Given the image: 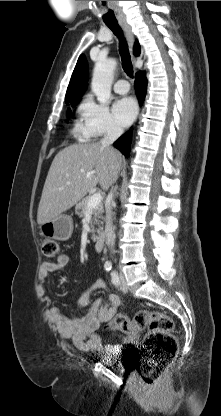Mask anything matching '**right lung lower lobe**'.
I'll list each match as a JSON object with an SVG mask.
<instances>
[{"label": "right lung lower lobe", "instance_id": "obj_1", "mask_svg": "<svg viewBox=\"0 0 221 416\" xmlns=\"http://www.w3.org/2000/svg\"><path fill=\"white\" fill-rule=\"evenodd\" d=\"M136 95L139 99L140 104L145 99L147 89V79L143 74H137L134 84ZM132 132L131 130L122 135L115 143L114 146L119 149L126 157L129 155L130 143H131Z\"/></svg>", "mask_w": 221, "mask_h": 416}]
</instances>
